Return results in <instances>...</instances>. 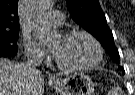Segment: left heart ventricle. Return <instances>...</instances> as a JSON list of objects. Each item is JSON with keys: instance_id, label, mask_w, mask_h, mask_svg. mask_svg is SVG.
Instances as JSON below:
<instances>
[{"instance_id": "b2bd125f", "label": "left heart ventricle", "mask_w": 135, "mask_h": 95, "mask_svg": "<svg viewBox=\"0 0 135 95\" xmlns=\"http://www.w3.org/2000/svg\"><path fill=\"white\" fill-rule=\"evenodd\" d=\"M54 28L55 27H50ZM55 51V57L68 65H82L93 62L97 57L94 44L83 35H75L69 38L58 36L51 43Z\"/></svg>"}]
</instances>
